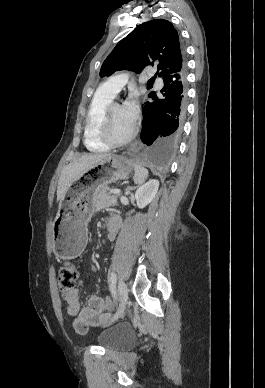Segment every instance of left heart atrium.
<instances>
[{"mask_svg": "<svg viewBox=\"0 0 265 388\" xmlns=\"http://www.w3.org/2000/svg\"><path fill=\"white\" fill-rule=\"evenodd\" d=\"M122 108L127 121L130 124H134L138 120L140 113L137 101L134 98H130Z\"/></svg>", "mask_w": 265, "mask_h": 388, "instance_id": "39dd6f15", "label": "left heart atrium"}]
</instances>
